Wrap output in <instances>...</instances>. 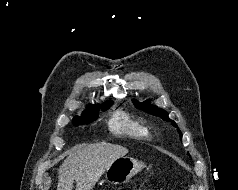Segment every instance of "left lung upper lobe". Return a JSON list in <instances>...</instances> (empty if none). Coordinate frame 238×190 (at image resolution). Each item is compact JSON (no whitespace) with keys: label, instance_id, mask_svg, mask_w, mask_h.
<instances>
[{"label":"left lung upper lobe","instance_id":"5c2ea615","mask_svg":"<svg viewBox=\"0 0 238 190\" xmlns=\"http://www.w3.org/2000/svg\"><path fill=\"white\" fill-rule=\"evenodd\" d=\"M133 102L137 108L147 111L148 113H150L152 115L159 116L165 121H168V122L170 121V119L168 117V113L163 109H160V108L150 105V100H146L143 103H139L138 101H133ZM171 123L175 127H177V125L174 121H171ZM178 132H179L180 136L182 137L181 131L179 129H178Z\"/></svg>","mask_w":238,"mask_h":190}]
</instances>
